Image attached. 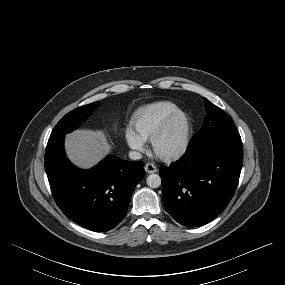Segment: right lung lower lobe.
Returning a JSON list of instances; mask_svg holds the SVG:
<instances>
[{
    "mask_svg": "<svg viewBox=\"0 0 285 285\" xmlns=\"http://www.w3.org/2000/svg\"><path fill=\"white\" fill-rule=\"evenodd\" d=\"M64 138L65 134L50 136L45 151V170L56 204L69 219L89 230L114 228L144 177L143 163L109 155L98 166L81 170L68 160Z\"/></svg>",
    "mask_w": 285,
    "mask_h": 285,
    "instance_id": "1",
    "label": "right lung lower lobe"
}]
</instances>
